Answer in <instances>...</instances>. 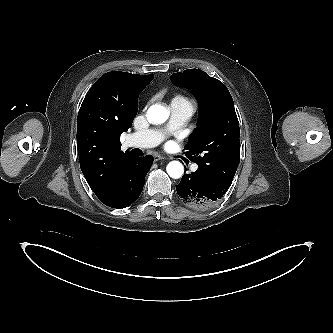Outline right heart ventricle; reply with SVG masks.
I'll return each instance as SVG.
<instances>
[{
    "instance_id": "1",
    "label": "right heart ventricle",
    "mask_w": 333,
    "mask_h": 333,
    "mask_svg": "<svg viewBox=\"0 0 333 333\" xmlns=\"http://www.w3.org/2000/svg\"><path fill=\"white\" fill-rule=\"evenodd\" d=\"M173 100H181V101H188L185 97L183 96H176Z\"/></svg>"
}]
</instances>
